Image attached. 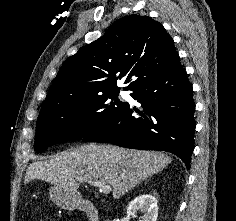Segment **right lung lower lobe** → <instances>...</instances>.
<instances>
[{"label": "right lung lower lobe", "mask_w": 236, "mask_h": 221, "mask_svg": "<svg viewBox=\"0 0 236 221\" xmlns=\"http://www.w3.org/2000/svg\"><path fill=\"white\" fill-rule=\"evenodd\" d=\"M131 96L141 103L140 117L127 103L83 142H110L140 150H162L177 155L188 168L194 148L195 104L192 86L177 55L167 66L140 80Z\"/></svg>", "instance_id": "98d812e1"}]
</instances>
